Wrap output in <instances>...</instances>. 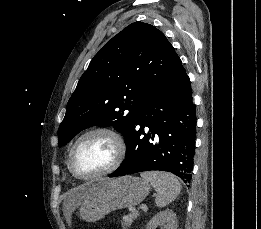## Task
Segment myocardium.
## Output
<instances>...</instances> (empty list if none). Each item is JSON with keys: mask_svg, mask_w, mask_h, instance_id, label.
<instances>
[{"mask_svg": "<svg viewBox=\"0 0 261 229\" xmlns=\"http://www.w3.org/2000/svg\"><path fill=\"white\" fill-rule=\"evenodd\" d=\"M93 135L107 136L112 141V143L115 147L116 154H115V158H114L112 164L108 168H106L103 171L86 174V173H82V172L78 171L75 168V166L73 164V156H74V152L77 149V147L85 139H87L88 137H91ZM125 155H126V146H125V142H124L122 136L114 129H111L108 127H97V128H93L91 130L86 131L74 142V144L72 145V147L70 149L69 156H68V168L72 172V174H74L78 178L93 179V178L108 175V174L114 172L115 170H117L119 168V166L122 164V162L125 158Z\"/></svg>", "mask_w": 261, "mask_h": 229, "instance_id": "1", "label": "myocardium"}]
</instances>
